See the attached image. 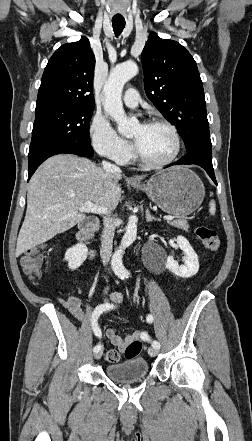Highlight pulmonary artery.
<instances>
[{
  "label": "pulmonary artery",
  "mask_w": 252,
  "mask_h": 441,
  "mask_svg": "<svg viewBox=\"0 0 252 441\" xmlns=\"http://www.w3.org/2000/svg\"><path fill=\"white\" fill-rule=\"evenodd\" d=\"M123 102L130 108H135L140 102L139 93L135 88H129L123 96Z\"/></svg>",
  "instance_id": "1"
}]
</instances>
